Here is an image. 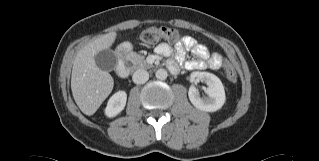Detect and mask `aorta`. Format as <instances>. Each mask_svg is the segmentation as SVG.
Here are the masks:
<instances>
[{"mask_svg":"<svg viewBox=\"0 0 319 161\" xmlns=\"http://www.w3.org/2000/svg\"><path fill=\"white\" fill-rule=\"evenodd\" d=\"M156 78L159 80H165L168 76V73L165 69H158L155 73Z\"/></svg>","mask_w":319,"mask_h":161,"instance_id":"762f6f07","label":"aorta"}]
</instances>
